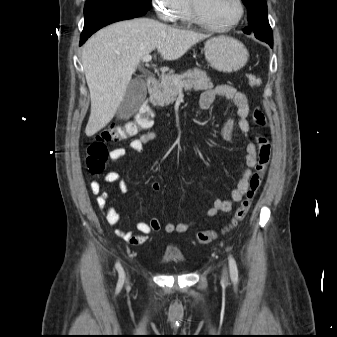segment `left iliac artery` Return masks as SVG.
<instances>
[{"label": "left iliac artery", "mask_w": 337, "mask_h": 337, "mask_svg": "<svg viewBox=\"0 0 337 337\" xmlns=\"http://www.w3.org/2000/svg\"><path fill=\"white\" fill-rule=\"evenodd\" d=\"M229 267H230V276L234 283L238 282V269L235 259L230 255L229 256Z\"/></svg>", "instance_id": "1"}]
</instances>
